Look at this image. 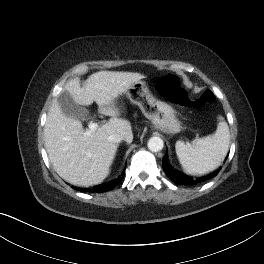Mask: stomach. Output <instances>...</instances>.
Wrapping results in <instances>:
<instances>
[{
	"instance_id": "obj_1",
	"label": "stomach",
	"mask_w": 264,
	"mask_h": 264,
	"mask_svg": "<svg viewBox=\"0 0 264 264\" xmlns=\"http://www.w3.org/2000/svg\"><path fill=\"white\" fill-rule=\"evenodd\" d=\"M125 93L132 103L139 106L155 129L169 134H176L182 130L176 111L169 104L156 99L144 81L133 83Z\"/></svg>"
}]
</instances>
